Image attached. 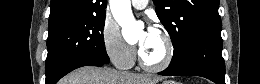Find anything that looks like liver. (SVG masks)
<instances>
[{
    "mask_svg": "<svg viewBox=\"0 0 260 84\" xmlns=\"http://www.w3.org/2000/svg\"><path fill=\"white\" fill-rule=\"evenodd\" d=\"M157 78L120 72L111 68L82 67L61 80V84H156Z\"/></svg>",
    "mask_w": 260,
    "mask_h": 84,
    "instance_id": "6515ba94",
    "label": "liver"
}]
</instances>
